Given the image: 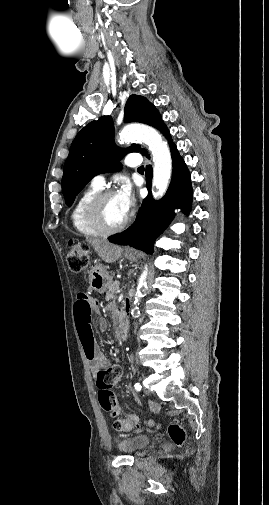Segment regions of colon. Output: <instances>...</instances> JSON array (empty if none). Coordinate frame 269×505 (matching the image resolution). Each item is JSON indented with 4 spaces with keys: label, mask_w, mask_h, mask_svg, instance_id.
I'll return each mask as SVG.
<instances>
[{
    "label": "colon",
    "mask_w": 269,
    "mask_h": 505,
    "mask_svg": "<svg viewBox=\"0 0 269 505\" xmlns=\"http://www.w3.org/2000/svg\"><path fill=\"white\" fill-rule=\"evenodd\" d=\"M69 269L74 273H80L87 268L89 264V250L85 245L73 242L69 246L67 255ZM119 371L114 367L101 370L96 376V383L99 388L98 398L101 407L114 416L118 414L116 410V400L112 388L119 380ZM137 424V417L134 415H124L114 421V428L119 432H129ZM170 438L176 445H182L186 434L180 424L172 423L168 427Z\"/></svg>",
    "instance_id": "colon-1"
}]
</instances>
